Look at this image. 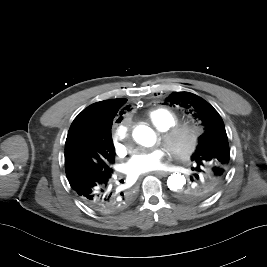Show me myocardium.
I'll use <instances>...</instances> for the list:
<instances>
[{
  "mask_svg": "<svg viewBox=\"0 0 267 267\" xmlns=\"http://www.w3.org/2000/svg\"><path fill=\"white\" fill-rule=\"evenodd\" d=\"M199 136L198 128L188 123H176L162 131L161 141L174 156L186 159L195 151ZM181 139H184L183 143Z\"/></svg>",
  "mask_w": 267,
  "mask_h": 267,
  "instance_id": "1",
  "label": "myocardium"
}]
</instances>
